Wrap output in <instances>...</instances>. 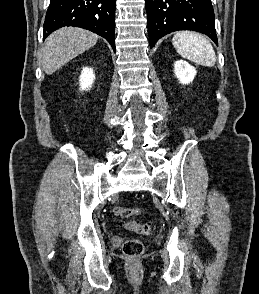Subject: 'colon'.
I'll use <instances>...</instances> for the list:
<instances>
[{"instance_id":"colon-1","label":"colon","mask_w":259,"mask_h":294,"mask_svg":"<svg viewBox=\"0 0 259 294\" xmlns=\"http://www.w3.org/2000/svg\"><path fill=\"white\" fill-rule=\"evenodd\" d=\"M113 213L117 217L126 218L138 215L139 209L116 206L113 208ZM120 225L126 230L144 235H148L153 231V228L149 223L135 220L123 221ZM122 250L126 256L136 258L143 254L144 244L138 239H128L123 243Z\"/></svg>"}]
</instances>
